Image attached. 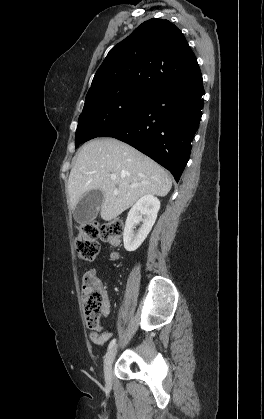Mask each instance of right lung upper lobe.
Masks as SVG:
<instances>
[{"mask_svg":"<svg viewBox=\"0 0 264 419\" xmlns=\"http://www.w3.org/2000/svg\"><path fill=\"white\" fill-rule=\"evenodd\" d=\"M201 79L197 59L182 32L168 20L154 18L109 51L87 94L118 87L155 92Z\"/></svg>","mask_w":264,"mask_h":419,"instance_id":"1","label":"right lung upper lobe"}]
</instances>
